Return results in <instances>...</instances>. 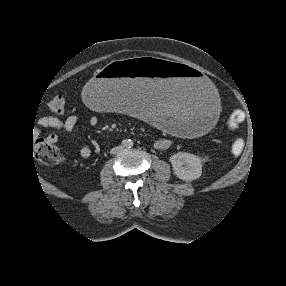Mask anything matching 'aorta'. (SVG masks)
Segmentation results:
<instances>
[{"label":"aorta","mask_w":286,"mask_h":286,"mask_svg":"<svg viewBox=\"0 0 286 286\" xmlns=\"http://www.w3.org/2000/svg\"><path fill=\"white\" fill-rule=\"evenodd\" d=\"M132 141H128L127 143H126V146H132Z\"/></svg>","instance_id":"762f6f07"}]
</instances>
